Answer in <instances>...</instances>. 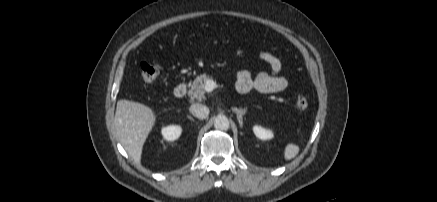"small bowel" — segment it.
Segmentation results:
<instances>
[{"label": "small bowel", "instance_id": "c3829d8e", "mask_svg": "<svg viewBox=\"0 0 437 202\" xmlns=\"http://www.w3.org/2000/svg\"><path fill=\"white\" fill-rule=\"evenodd\" d=\"M258 55L268 64L269 71H261L254 75L247 70L240 71L237 75L236 90L239 93H247L253 88L262 93L283 91L288 82L280 75L282 65L279 58L268 51H260Z\"/></svg>", "mask_w": 437, "mask_h": 202}]
</instances>
